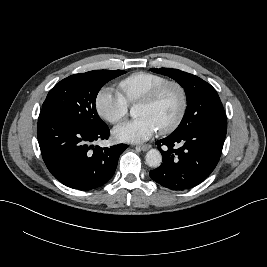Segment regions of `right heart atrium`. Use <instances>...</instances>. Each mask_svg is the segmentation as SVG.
I'll return each mask as SVG.
<instances>
[{
  "mask_svg": "<svg viewBox=\"0 0 267 267\" xmlns=\"http://www.w3.org/2000/svg\"><path fill=\"white\" fill-rule=\"evenodd\" d=\"M128 103L111 88L104 87L95 97V108L101 118L111 124L121 122L128 113Z\"/></svg>",
  "mask_w": 267,
  "mask_h": 267,
  "instance_id": "right-heart-atrium-1",
  "label": "right heart atrium"
}]
</instances>
